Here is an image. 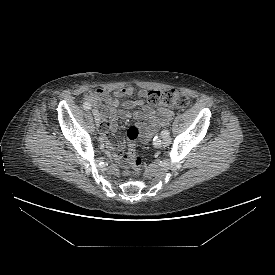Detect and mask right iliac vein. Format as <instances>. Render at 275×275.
<instances>
[{"label":"right iliac vein","instance_id":"obj_1","mask_svg":"<svg viewBox=\"0 0 275 275\" xmlns=\"http://www.w3.org/2000/svg\"><path fill=\"white\" fill-rule=\"evenodd\" d=\"M92 112H93V115H94L95 123H96L97 126H99L100 120H101L100 114H99V112H98L97 110H95V109L92 110Z\"/></svg>","mask_w":275,"mask_h":275}]
</instances>
